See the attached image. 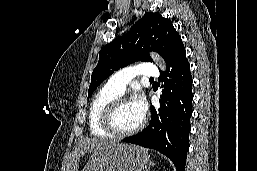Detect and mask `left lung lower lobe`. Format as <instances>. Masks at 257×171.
Listing matches in <instances>:
<instances>
[{"instance_id": "left-lung-lower-lobe-1", "label": "left lung lower lobe", "mask_w": 257, "mask_h": 171, "mask_svg": "<svg viewBox=\"0 0 257 171\" xmlns=\"http://www.w3.org/2000/svg\"><path fill=\"white\" fill-rule=\"evenodd\" d=\"M161 80L165 81V89L160 109L157 111L152 107L149 125L123 141L155 149L170 158L177 171H185L193 93L190 65L184 47L166 62V72L161 73Z\"/></svg>"}]
</instances>
